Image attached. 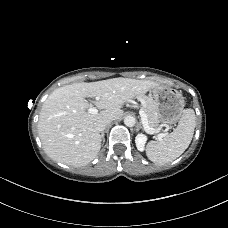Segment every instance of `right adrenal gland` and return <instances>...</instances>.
I'll list each match as a JSON object with an SVG mask.
<instances>
[{
	"label": "right adrenal gland",
	"instance_id": "obj_1",
	"mask_svg": "<svg viewBox=\"0 0 228 228\" xmlns=\"http://www.w3.org/2000/svg\"><path fill=\"white\" fill-rule=\"evenodd\" d=\"M105 132L103 131L102 133H101V138H102V144H104L105 143Z\"/></svg>",
	"mask_w": 228,
	"mask_h": 228
}]
</instances>
